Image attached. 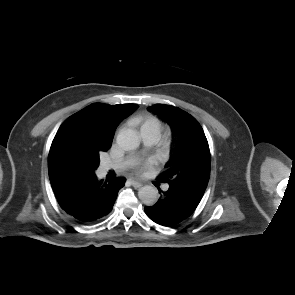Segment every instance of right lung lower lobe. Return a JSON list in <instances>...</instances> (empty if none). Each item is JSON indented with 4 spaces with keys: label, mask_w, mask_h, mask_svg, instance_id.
Returning <instances> with one entry per match:
<instances>
[{
    "label": "right lung lower lobe",
    "mask_w": 295,
    "mask_h": 295,
    "mask_svg": "<svg viewBox=\"0 0 295 295\" xmlns=\"http://www.w3.org/2000/svg\"><path fill=\"white\" fill-rule=\"evenodd\" d=\"M52 189L60 206L76 221L91 224L110 213L118 191L126 179L98 180L95 172L86 174H49Z\"/></svg>",
    "instance_id": "obj_1"
}]
</instances>
